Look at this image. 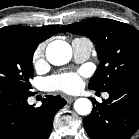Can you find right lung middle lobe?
<instances>
[{
    "label": "right lung middle lobe",
    "instance_id": "dd1d6c3e",
    "mask_svg": "<svg viewBox=\"0 0 139 139\" xmlns=\"http://www.w3.org/2000/svg\"><path fill=\"white\" fill-rule=\"evenodd\" d=\"M38 44L16 36H0V93L31 96L32 58Z\"/></svg>",
    "mask_w": 139,
    "mask_h": 139
}]
</instances>
